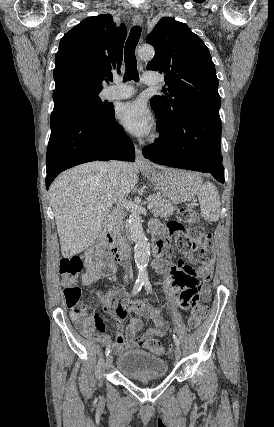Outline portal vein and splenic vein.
<instances>
[{"label": "portal vein and splenic vein", "mask_w": 274, "mask_h": 427, "mask_svg": "<svg viewBox=\"0 0 274 427\" xmlns=\"http://www.w3.org/2000/svg\"><path fill=\"white\" fill-rule=\"evenodd\" d=\"M148 210H150V208H153V204L152 202H150L149 206H147Z\"/></svg>", "instance_id": "18ae733b"}]
</instances>
